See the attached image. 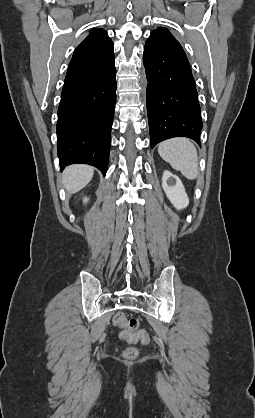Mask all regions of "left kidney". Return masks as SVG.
Here are the masks:
<instances>
[{
	"label": "left kidney",
	"mask_w": 255,
	"mask_h": 418,
	"mask_svg": "<svg viewBox=\"0 0 255 418\" xmlns=\"http://www.w3.org/2000/svg\"><path fill=\"white\" fill-rule=\"evenodd\" d=\"M162 187L166 196L177 210H181L188 206L189 198L185 192L184 185L178 176L172 174L170 171H164Z\"/></svg>",
	"instance_id": "5707ae66"
}]
</instances>
